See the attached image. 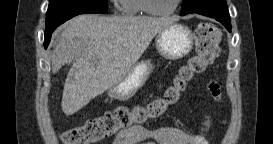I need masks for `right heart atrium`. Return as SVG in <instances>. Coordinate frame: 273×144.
<instances>
[{
    "mask_svg": "<svg viewBox=\"0 0 273 144\" xmlns=\"http://www.w3.org/2000/svg\"><path fill=\"white\" fill-rule=\"evenodd\" d=\"M113 2L115 3L116 6H118L122 2V0H114Z\"/></svg>",
    "mask_w": 273,
    "mask_h": 144,
    "instance_id": "obj_1",
    "label": "right heart atrium"
}]
</instances>
